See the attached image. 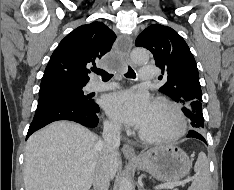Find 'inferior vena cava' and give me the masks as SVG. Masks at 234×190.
Returning <instances> with one entry per match:
<instances>
[{"instance_id": "1", "label": "inferior vena cava", "mask_w": 234, "mask_h": 190, "mask_svg": "<svg viewBox=\"0 0 234 190\" xmlns=\"http://www.w3.org/2000/svg\"><path fill=\"white\" fill-rule=\"evenodd\" d=\"M120 125L105 122L103 127V141L100 143V156L96 166L93 187L94 190H108L111 179L110 159L118 153L120 145Z\"/></svg>"}]
</instances>
